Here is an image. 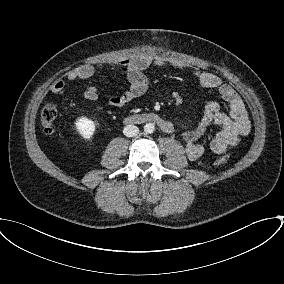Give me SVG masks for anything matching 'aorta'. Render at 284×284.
Listing matches in <instances>:
<instances>
[{"label":"aorta","instance_id":"aorta-1","mask_svg":"<svg viewBox=\"0 0 284 284\" xmlns=\"http://www.w3.org/2000/svg\"><path fill=\"white\" fill-rule=\"evenodd\" d=\"M154 130H155V126H154V124H152V123H147V124L144 126V131H145V133H147V134L153 133Z\"/></svg>","mask_w":284,"mask_h":284}]
</instances>
